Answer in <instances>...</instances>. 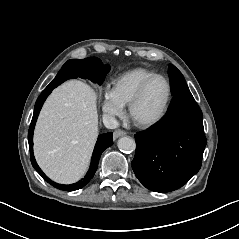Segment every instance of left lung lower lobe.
Listing matches in <instances>:
<instances>
[{
  "mask_svg": "<svg viewBox=\"0 0 239 239\" xmlns=\"http://www.w3.org/2000/svg\"><path fill=\"white\" fill-rule=\"evenodd\" d=\"M173 95L162 120L135 135L134 173L146 188L160 193L182 187L199 171L207 144L202 112L191 92Z\"/></svg>",
  "mask_w": 239,
  "mask_h": 239,
  "instance_id": "left-lung-lower-lobe-1",
  "label": "left lung lower lobe"
}]
</instances>
